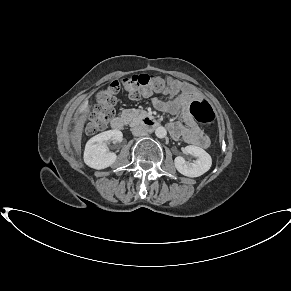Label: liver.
I'll list each match as a JSON object with an SVG mask.
<instances>
[{
	"label": "liver",
	"instance_id": "liver-1",
	"mask_svg": "<svg viewBox=\"0 0 291 291\" xmlns=\"http://www.w3.org/2000/svg\"><path fill=\"white\" fill-rule=\"evenodd\" d=\"M89 109V102L85 101L80 107H79V114L87 113Z\"/></svg>",
	"mask_w": 291,
	"mask_h": 291
}]
</instances>
